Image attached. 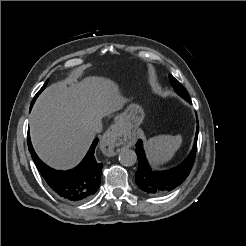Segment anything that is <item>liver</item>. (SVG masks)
<instances>
[{
    "instance_id": "6515ba94",
    "label": "liver",
    "mask_w": 246,
    "mask_h": 246,
    "mask_svg": "<svg viewBox=\"0 0 246 246\" xmlns=\"http://www.w3.org/2000/svg\"><path fill=\"white\" fill-rule=\"evenodd\" d=\"M124 102L117 85L101 77H87L81 82L68 79L47 87L30 116L31 140L37 154L53 168L74 167L94 138L89 121L121 109Z\"/></svg>"
}]
</instances>
